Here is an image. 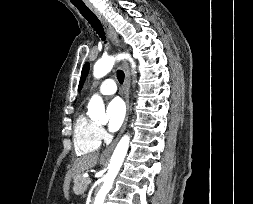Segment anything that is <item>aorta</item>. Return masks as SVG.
<instances>
[{"label":"aorta","mask_w":253,"mask_h":204,"mask_svg":"<svg viewBox=\"0 0 253 204\" xmlns=\"http://www.w3.org/2000/svg\"><path fill=\"white\" fill-rule=\"evenodd\" d=\"M123 58L128 59L131 62L132 67L135 68V63L129 54H120L117 57L105 56L95 63L93 68L94 77L97 79L104 77L113 68L115 60H120ZM88 115L94 121L103 122L108 120V116L105 114L104 103L100 96L94 95L90 99L88 104ZM129 142V135H124L117 144L110 160L109 170L104 177L103 185L95 198L94 204H104L105 197L112 188L113 181L126 156Z\"/></svg>","instance_id":"762f6f07"}]
</instances>
